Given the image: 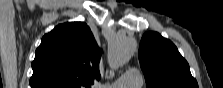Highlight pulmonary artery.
<instances>
[{
  "mask_svg": "<svg viewBox=\"0 0 223 88\" xmlns=\"http://www.w3.org/2000/svg\"><path fill=\"white\" fill-rule=\"evenodd\" d=\"M143 84L141 72L138 69H129L113 84L107 85L104 88H137Z\"/></svg>",
  "mask_w": 223,
  "mask_h": 88,
  "instance_id": "obj_1",
  "label": "pulmonary artery"
}]
</instances>
